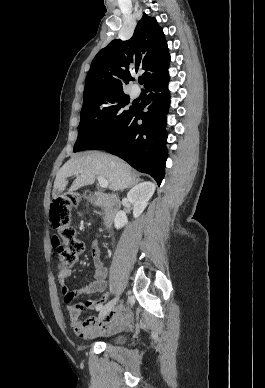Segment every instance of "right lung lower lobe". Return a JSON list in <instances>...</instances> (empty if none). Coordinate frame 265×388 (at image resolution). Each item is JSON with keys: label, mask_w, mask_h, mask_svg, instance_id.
Masks as SVG:
<instances>
[{"label": "right lung lower lobe", "mask_w": 265, "mask_h": 388, "mask_svg": "<svg viewBox=\"0 0 265 388\" xmlns=\"http://www.w3.org/2000/svg\"><path fill=\"white\" fill-rule=\"evenodd\" d=\"M168 81L167 73L146 85L148 111L143 112V107L135 106L117 136L103 148L138 171L150 174L158 185L164 178L167 159L165 115L170 103Z\"/></svg>", "instance_id": "right-lung-lower-lobe-1"}]
</instances>
